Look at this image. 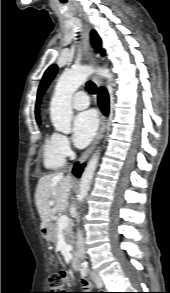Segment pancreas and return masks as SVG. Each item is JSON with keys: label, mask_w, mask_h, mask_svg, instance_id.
<instances>
[{"label": "pancreas", "mask_w": 170, "mask_h": 293, "mask_svg": "<svg viewBox=\"0 0 170 293\" xmlns=\"http://www.w3.org/2000/svg\"><path fill=\"white\" fill-rule=\"evenodd\" d=\"M51 240L56 243L57 237H58V219L55 220V223L51 225ZM63 235L68 244H74V234H73V225L69 224L67 227H65L63 230Z\"/></svg>", "instance_id": "1"}]
</instances>
